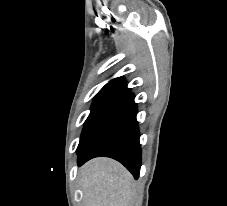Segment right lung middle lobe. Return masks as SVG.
Instances as JSON below:
<instances>
[{
    "label": "right lung middle lobe",
    "instance_id": "1",
    "mask_svg": "<svg viewBox=\"0 0 227 206\" xmlns=\"http://www.w3.org/2000/svg\"><path fill=\"white\" fill-rule=\"evenodd\" d=\"M128 92L129 89L124 83H108L96 94L91 113L85 121L79 145L93 130L101 116Z\"/></svg>",
    "mask_w": 227,
    "mask_h": 206
}]
</instances>
